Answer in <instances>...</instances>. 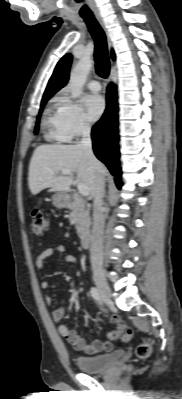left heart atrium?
Wrapping results in <instances>:
<instances>
[{
	"mask_svg": "<svg viewBox=\"0 0 182 399\" xmlns=\"http://www.w3.org/2000/svg\"><path fill=\"white\" fill-rule=\"evenodd\" d=\"M84 103L87 115L91 120H98L102 116L105 110V101L102 96L98 94L88 95Z\"/></svg>",
	"mask_w": 182,
	"mask_h": 399,
	"instance_id": "1",
	"label": "left heart atrium"
}]
</instances>
